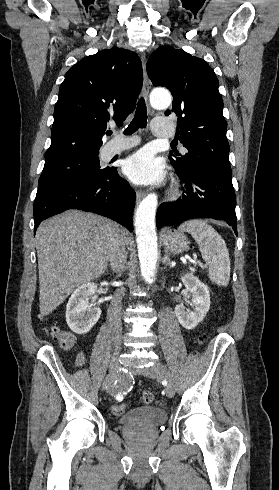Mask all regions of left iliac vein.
<instances>
[{"label":"left iliac vein","instance_id":"left-iliac-vein-1","mask_svg":"<svg viewBox=\"0 0 279 490\" xmlns=\"http://www.w3.org/2000/svg\"><path fill=\"white\" fill-rule=\"evenodd\" d=\"M151 362L154 365L150 368V372L153 375L157 376L159 379L167 381V397L172 398L175 394V382L172 373L165 365L160 363L158 359H153Z\"/></svg>","mask_w":279,"mask_h":490}]
</instances>
